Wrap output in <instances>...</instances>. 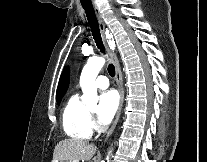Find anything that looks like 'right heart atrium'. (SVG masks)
<instances>
[{"instance_id": "right-heart-atrium-1", "label": "right heart atrium", "mask_w": 207, "mask_h": 162, "mask_svg": "<svg viewBox=\"0 0 207 162\" xmlns=\"http://www.w3.org/2000/svg\"><path fill=\"white\" fill-rule=\"evenodd\" d=\"M90 124L91 126L94 128L95 127V123H94V120L93 118L90 116Z\"/></svg>"}]
</instances>
